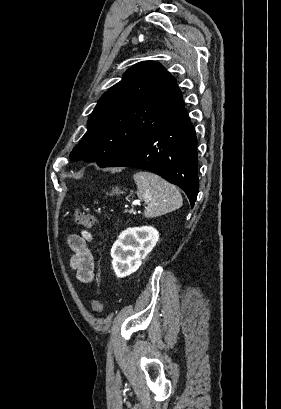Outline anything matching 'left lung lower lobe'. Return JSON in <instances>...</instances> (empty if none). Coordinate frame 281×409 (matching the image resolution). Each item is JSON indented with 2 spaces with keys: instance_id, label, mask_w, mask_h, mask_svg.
<instances>
[{
  "instance_id": "0a47b994",
  "label": "left lung lower lobe",
  "mask_w": 281,
  "mask_h": 409,
  "mask_svg": "<svg viewBox=\"0 0 281 409\" xmlns=\"http://www.w3.org/2000/svg\"><path fill=\"white\" fill-rule=\"evenodd\" d=\"M197 162L196 133L183 106L103 167H136L154 172L184 190L193 207L199 187Z\"/></svg>"
}]
</instances>
